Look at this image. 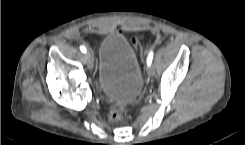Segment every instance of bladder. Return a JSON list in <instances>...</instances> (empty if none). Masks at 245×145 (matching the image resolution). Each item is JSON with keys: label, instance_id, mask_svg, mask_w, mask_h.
Masks as SVG:
<instances>
[{"label": "bladder", "instance_id": "obj_1", "mask_svg": "<svg viewBox=\"0 0 245 145\" xmlns=\"http://www.w3.org/2000/svg\"><path fill=\"white\" fill-rule=\"evenodd\" d=\"M98 80L114 100H133L142 88V73L132 43L123 35L106 37L99 49Z\"/></svg>", "mask_w": 245, "mask_h": 145}]
</instances>
